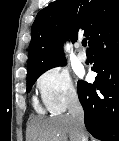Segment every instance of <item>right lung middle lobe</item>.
I'll return each instance as SVG.
<instances>
[{"label": "right lung middle lobe", "instance_id": "right-lung-middle-lobe-1", "mask_svg": "<svg viewBox=\"0 0 119 141\" xmlns=\"http://www.w3.org/2000/svg\"><path fill=\"white\" fill-rule=\"evenodd\" d=\"M45 71L33 73L30 75H27V92H29L34 84V82L37 80V78L44 73Z\"/></svg>", "mask_w": 119, "mask_h": 141}]
</instances>
